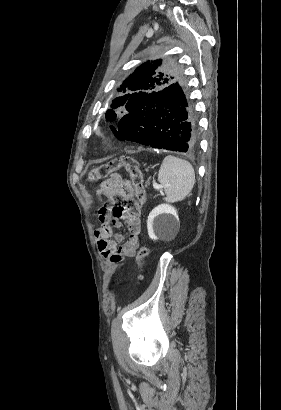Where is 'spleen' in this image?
I'll return each instance as SVG.
<instances>
[{
  "instance_id": "3e777b00",
  "label": "spleen",
  "mask_w": 281,
  "mask_h": 410,
  "mask_svg": "<svg viewBox=\"0 0 281 410\" xmlns=\"http://www.w3.org/2000/svg\"><path fill=\"white\" fill-rule=\"evenodd\" d=\"M158 181L168 202L183 200L193 189L195 173L192 165L183 159L168 155L158 173Z\"/></svg>"
}]
</instances>
